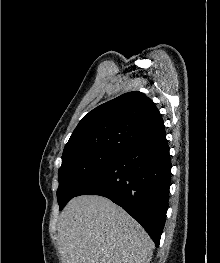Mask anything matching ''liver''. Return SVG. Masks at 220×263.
Returning <instances> with one entry per match:
<instances>
[{
	"instance_id": "1",
	"label": "liver",
	"mask_w": 220,
	"mask_h": 263,
	"mask_svg": "<svg viewBox=\"0 0 220 263\" xmlns=\"http://www.w3.org/2000/svg\"><path fill=\"white\" fill-rule=\"evenodd\" d=\"M62 263H149L153 242L125 210L98 195L73 198L58 222Z\"/></svg>"
}]
</instances>
